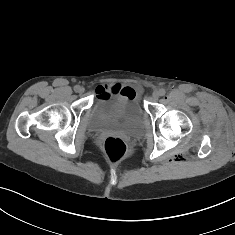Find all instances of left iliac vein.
<instances>
[{"instance_id": "1", "label": "left iliac vein", "mask_w": 235, "mask_h": 235, "mask_svg": "<svg viewBox=\"0 0 235 235\" xmlns=\"http://www.w3.org/2000/svg\"><path fill=\"white\" fill-rule=\"evenodd\" d=\"M160 91L159 90H155L152 94V97L154 100H157L160 97Z\"/></svg>"}]
</instances>
